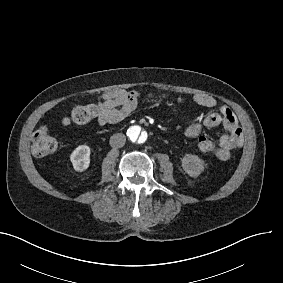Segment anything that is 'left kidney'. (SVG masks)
<instances>
[{"label":"left kidney","instance_id":"5707ae66","mask_svg":"<svg viewBox=\"0 0 283 283\" xmlns=\"http://www.w3.org/2000/svg\"><path fill=\"white\" fill-rule=\"evenodd\" d=\"M181 161L183 170L191 177H198L204 171V161L196 155L186 154Z\"/></svg>","mask_w":283,"mask_h":283}]
</instances>
